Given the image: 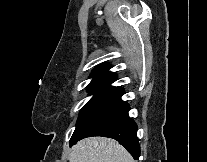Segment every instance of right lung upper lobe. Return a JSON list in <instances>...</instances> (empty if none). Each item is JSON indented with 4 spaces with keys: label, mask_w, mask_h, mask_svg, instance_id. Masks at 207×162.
<instances>
[{
    "label": "right lung upper lobe",
    "mask_w": 207,
    "mask_h": 162,
    "mask_svg": "<svg viewBox=\"0 0 207 162\" xmlns=\"http://www.w3.org/2000/svg\"><path fill=\"white\" fill-rule=\"evenodd\" d=\"M110 66L106 63H103L96 67V69L91 74L93 80L88 85L89 88L103 87V88H114L111 83L116 79V75L109 71Z\"/></svg>",
    "instance_id": "obj_1"
}]
</instances>
